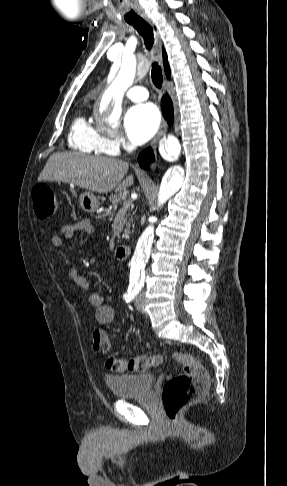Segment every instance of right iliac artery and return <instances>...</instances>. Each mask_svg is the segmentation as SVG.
Masks as SVG:
<instances>
[{"instance_id":"1","label":"right iliac artery","mask_w":287,"mask_h":486,"mask_svg":"<svg viewBox=\"0 0 287 486\" xmlns=\"http://www.w3.org/2000/svg\"><path fill=\"white\" fill-rule=\"evenodd\" d=\"M140 289L138 287H130L128 293L124 295L126 302L134 299V297L139 293Z\"/></svg>"}]
</instances>
